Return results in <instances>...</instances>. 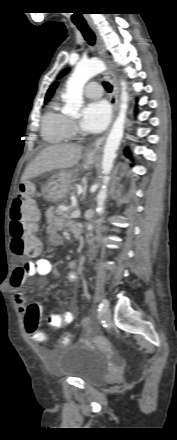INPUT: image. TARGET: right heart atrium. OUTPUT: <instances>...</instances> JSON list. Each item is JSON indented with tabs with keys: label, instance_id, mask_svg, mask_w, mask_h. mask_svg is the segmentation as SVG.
Returning <instances> with one entry per match:
<instances>
[{
	"label": "right heart atrium",
	"instance_id": "obj_1",
	"mask_svg": "<svg viewBox=\"0 0 177 440\" xmlns=\"http://www.w3.org/2000/svg\"><path fill=\"white\" fill-rule=\"evenodd\" d=\"M68 128H69L70 134H74L77 131L76 123L73 120H69Z\"/></svg>",
	"mask_w": 177,
	"mask_h": 440
}]
</instances>
